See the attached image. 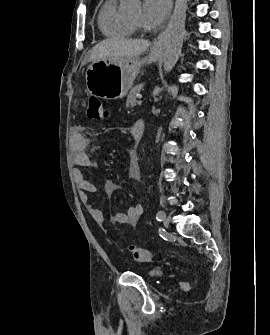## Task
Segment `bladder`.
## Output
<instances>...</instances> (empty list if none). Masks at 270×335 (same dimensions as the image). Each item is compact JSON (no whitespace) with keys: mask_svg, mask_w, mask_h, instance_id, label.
I'll use <instances>...</instances> for the list:
<instances>
[{"mask_svg":"<svg viewBox=\"0 0 270 335\" xmlns=\"http://www.w3.org/2000/svg\"><path fill=\"white\" fill-rule=\"evenodd\" d=\"M149 279H155V273L147 274Z\"/></svg>","mask_w":270,"mask_h":335,"instance_id":"31cf9c89","label":"bladder"}]
</instances>
